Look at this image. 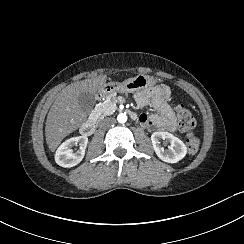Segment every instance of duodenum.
<instances>
[{"label": "duodenum", "instance_id": "1", "mask_svg": "<svg viewBox=\"0 0 244 244\" xmlns=\"http://www.w3.org/2000/svg\"><path fill=\"white\" fill-rule=\"evenodd\" d=\"M96 97L97 98H102L103 97V92L102 91H97L96 92ZM99 121V115L98 114H93L81 127V133L84 136H89L92 135L97 127Z\"/></svg>", "mask_w": 244, "mask_h": 244}]
</instances>
